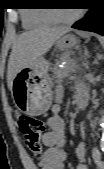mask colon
I'll return each mask as SVG.
<instances>
[{
  "mask_svg": "<svg viewBox=\"0 0 104 169\" xmlns=\"http://www.w3.org/2000/svg\"><path fill=\"white\" fill-rule=\"evenodd\" d=\"M18 128L31 154L41 158L44 152L41 140L45 131V123L36 117L21 116L18 119Z\"/></svg>",
  "mask_w": 104,
  "mask_h": 169,
  "instance_id": "5ec220e1",
  "label": "colon"
}]
</instances>
